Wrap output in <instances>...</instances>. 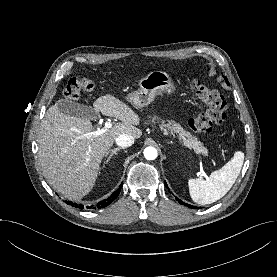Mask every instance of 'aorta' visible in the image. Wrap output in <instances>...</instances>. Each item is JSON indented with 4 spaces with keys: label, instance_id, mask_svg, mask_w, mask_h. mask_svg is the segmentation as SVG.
<instances>
[{
    "label": "aorta",
    "instance_id": "762f6f07",
    "mask_svg": "<svg viewBox=\"0 0 277 277\" xmlns=\"http://www.w3.org/2000/svg\"><path fill=\"white\" fill-rule=\"evenodd\" d=\"M157 155H158L157 150L154 147H146L144 149V157L147 160H154L157 158Z\"/></svg>",
    "mask_w": 277,
    "mask_h": 277
}]
</instances>
